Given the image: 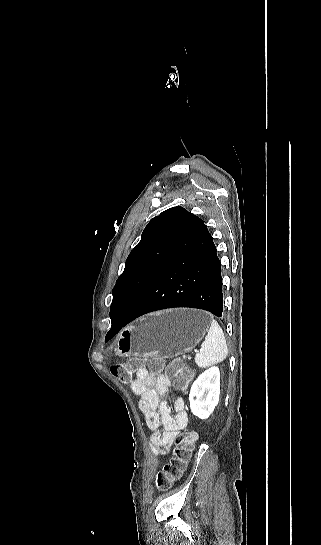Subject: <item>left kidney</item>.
<instances>
[{
  "instance_id": "left-kidney-1",
  "label": "left kidney",
  "mask_w": 321,
  "mask_h": 545,
  "mask_svg": "<svg viewBox=\"0 0 321 545\" xmlns=\"http://www.w3.org/2000/svg\"><path fill=\"white\" fill-rule=\"evenodd\" d=\"M220 371L211 367L194 381L190 393V409L199 419H208L219 403Z\"/></svg>"
}]
</instances>
